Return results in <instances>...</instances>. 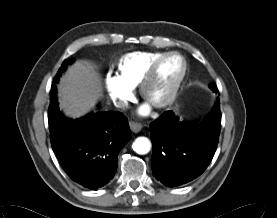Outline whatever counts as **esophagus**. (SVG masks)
<instances>
[{
	"label": "esophagus",
	"mask_w": 277,
	"mask_h": 218,
	"mask_svg": "<svg viewBox=\"0 0 277 218\" xmlns=\"http://www.w3.org/2000/svg\"><path fill=\"white\" fill-rule=\"evenodd\" d=\"M129 126L132 132L138 133L142 129V124L134 121L129 122Z\"/></svg>",
	"instance_id": "obj_1"
}]
</instances>
